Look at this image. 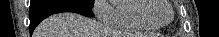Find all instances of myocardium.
<instances>
[{
	"label": "myocardium",
	"instance_id": "myocardium-1",
	"mask_svg": "<svg viewBox=\"0 0 219 37\" xmlns=\"http://www.w3.org/2000/svg\"><path fill=\"white\" fill-rule=\"evenodd\" d=\"M165 1L167 2V4L169 5L171 9V17L167 22H162V23L156 22L150 17V13L158 5V0H142V6L140 8V16L142 17V19L146 21L149 25L156 27V28H162V27L169 25L174 19L175 10H174V7L171 1L169 0H165Z\"/></svg>",
	"mask_w": 219,
	"mask_h": 37
}]
</instances>
